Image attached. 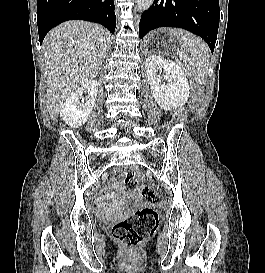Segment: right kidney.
Here are the masks:
<instances>
[{"mask_svg":"<svg viewBox=\"0 0 265 273\" xmlns=\"http://www.w3.org/2000/svg\"><path fill=\"white\" fill-rule=\"evenodd\" d=\"M98 86L96 80H90L71 93L62 105L60 116L71 128H78L87 122L95 105ZM83 93H87V96L85 101H80Z\"/></svg>","mask_w":265,"mask_h":273,"instance_id":"ca27d5eb","label":"right kidney"}]
</instances>
